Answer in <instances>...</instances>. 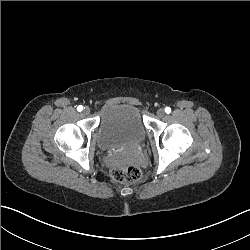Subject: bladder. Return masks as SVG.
I'll return each mask as SVG.
<instances>
[{"mask_svg":"<svg viewBox=\"0 0 250 250\" xmlns=\"http://www.w3.org/2000/svg\"><path fill=\"white\" fill-rule=\"evenodd\" d=\"M146 134L140 109L130 103L116 102L102 108L93 139L100 151L145 140Z\"/></svg>","mask_w":250,"mask_h":250,"instance_id":"bladder-1","label":"bladder"}]
</instances>
